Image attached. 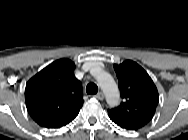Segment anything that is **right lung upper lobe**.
Instances as JSON below:
<instances>
[{"instance_id":"cb5924a9","label":"right lung upper lobe","mask_w":188,"mask_h":140,"mask_svg":"<svg viewBox=\"0 0 188 140\" xmlns=\"http://www.w3.org/2000/svg\"><path fill=\"white\" fill-rule=\"evenodd\" d=\"M73 71L72 61L60 59L45 67L27 83V110L40 126L59 128L78 115L84 100L81 83Z\"/></svg>"}]
</instances>
